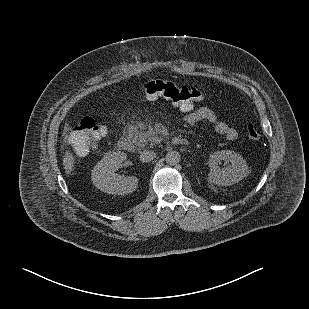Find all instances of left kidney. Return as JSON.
Returning a JSON list of instances; mask_svg holds the SVG:
<instances>
[{
	"instance_id": "left-kidney-1",
	"label": "left kidney",
	"mask_w": 309,
	"mask_h": 309,
	"mask_svg": "<svg viewBox=\"0 0 309 309\" xmlns=\"http://www.w3.org/2000/svg\"><path fill=\"white\" fill-rule=\"evenodd\" d=\"M225 166L220 168V164ZM209 181L218 186H231L241 181L248 172V166L239 153L231 150L217 151L209 159Z\"/></svg>"
}]
</instances>
